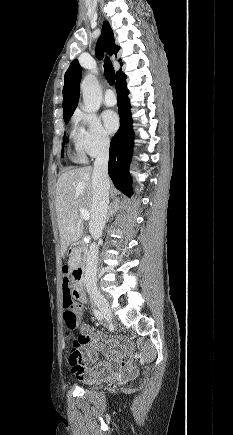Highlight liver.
<instances>
[{
	"label": "liver",
	"mask_w": 233,
	"mask_h": 435,
	"mask_svg": "<svg viewBox=\"0 0 233 435\" xmlns=\"http://www.w3.org/2000/svg\"><path fill=\"white\" fill-rule=\"evenodd\" d=\"M93 169L90 166L63 172L56 183L55 207L60 234L61 253L78 241L83 234L80 208L91 214L93 198ZM119 198L112 205L118 207Z\"/></svg>",
	"instance_id": "6515ba94"
}]
</instances>
